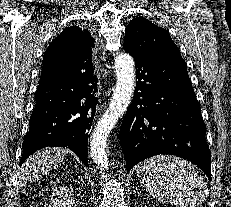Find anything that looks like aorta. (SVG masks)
I'll return each instance as SVG.
<instances>
[{
    "label": "aorta",
    "instance_id": "762f6f07",
    "mask_svg": "<svg viewBox=\"0 0 231 207\" xmlns=\"http://www.w3.org/2000/svg\"><path fill=\"white\" fill-rule=\"evenodd\" d=\"M134 66L133 57L127 53H121L115 59L116 89L107 110L97 122L90 140V157L101 170H108L110 167L107 155V140L115 124L127 110L133 97L135 89Z\"/></svg>",
    "mask_w": 231,
    "mask_h": 207
}]
</instances>
